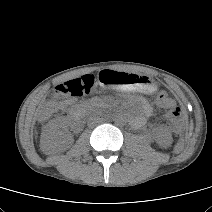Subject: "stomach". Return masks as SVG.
<instances>
[{
  "label": "stomach",
  "instance_id": "stomach-1",
  "mask_svg": "<svg viewBox=\"0 0 212 212\" xmlns=\"http://www.w3.org/2000/svg\"><path fill=\"white\" fill-rule=\"evenodd\" d=\"M98 80L101 84L106 85L107 87H113L123 91L138 89L144 92H152L154 90V86L147 83V77L127 72L105 69L99 73Z\"/></svg>",
  "mask_w": 212,
  "mask_h": 212
}]
</instances>
